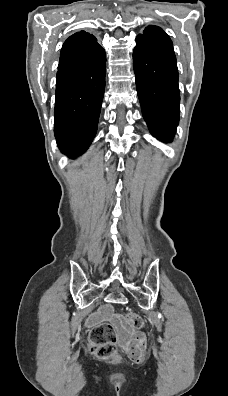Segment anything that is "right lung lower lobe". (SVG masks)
Returning <instances> with one entry per match:
<instances>
[{
	"instance_id": "1",
	"label": "right lung lower lobe",
	"mask_w": 228,
	"mask_h": 396,
	"mask_svg": "<svg viewBox=\"0 0 228 396\" xmlns=\"http://www.w3.org/2000/svg\"><path fill=\"white\" fill-rule=\"evenodd\" d=\"M64 43L58 65L54 134L59 149L75 157L87 150L96 135L105 89L106 54L96 42L77 50Z\"/></svg>"
}]
</instances>
